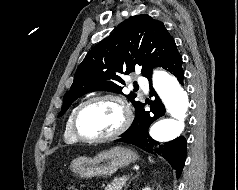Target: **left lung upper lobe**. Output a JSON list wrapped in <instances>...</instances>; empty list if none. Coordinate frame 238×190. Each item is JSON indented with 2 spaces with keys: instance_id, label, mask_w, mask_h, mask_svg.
I'll return each instance as SVG.
<instances>
[{
  "instance_id": "obj_1",
  "label": "left lung upper lobe",
  "mask_w": 238,
  "mask_h": 190,
  "mask_svg": "<svg viewBox=\"0 0 238 190\" xmlns=\"http://www.w3.org/2000/svg\"><path fill=\"white\" fill-rule=\"evenodd\" d=\"M177 51L164 24L148 15H136L122 22L107 38L98 43L79 65L58 117L82 95L92 91L122 93V74L142 66V75L150 78L154 66H161ZM136 108V94L125 95Z\"/></svg>"
}]
</instances>
